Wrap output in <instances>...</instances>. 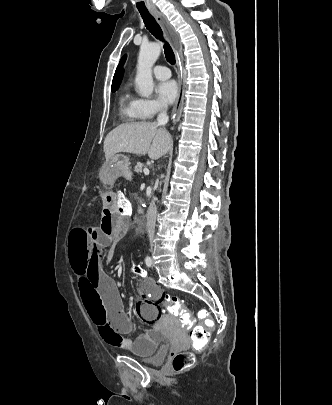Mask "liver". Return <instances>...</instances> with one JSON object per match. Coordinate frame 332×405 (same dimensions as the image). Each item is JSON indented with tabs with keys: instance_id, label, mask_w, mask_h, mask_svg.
<instances>
[{
	"instance_id": "6515ba94",
	"label": "liver",
	"mask_w": 332,
	"mask_h": 405,
	"mask_svg": "<svg viewBox=\"0 0 332 405\" xmlns=\"http://www.w3.org/2000/svg\"><path fill=\"white\" fill-rule=\"evenodd\" d=\"M169 132L155 122H132L117 126L104 140V153L107 161L115 154L127 152L137 155L148 154L157 160L171 148Z\"/></svg>"
}]
</instances>
